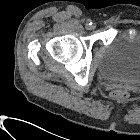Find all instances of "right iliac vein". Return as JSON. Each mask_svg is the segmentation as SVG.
I'll return each mask as SVG.
<instances>
[{"label":"right iliac vein","instance_id":"63e3f726","mask_svg":"<svg viewBox=\"0 0 140 140\" xmlns=\"http://www.w3.org/2000/svg\"><path fill=\"white\" fill-rule=\"evenodd\" d=\"M89 29L93 30L96 28V24L92 23L91 25L88 26Z\"/></svg>","mask_w":140,"mask_h":140}]
</instances>
